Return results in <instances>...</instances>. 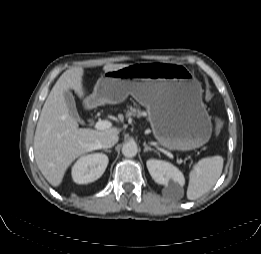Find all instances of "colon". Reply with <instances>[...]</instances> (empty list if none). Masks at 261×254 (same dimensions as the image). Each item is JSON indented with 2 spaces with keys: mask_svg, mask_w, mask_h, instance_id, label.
Listing matches in <instances>:
<instances>
[{
  "mask_svg": "<svg viewBox=\"0 0 261 254\" xmlns=\"http://www.w3.org/2000/svg\"><path fill=\"white\" fill-rule=\"evenodd\" d=\"M224 126V119L221 117L216 118L215 121V134H219Z\"/></svg>",
  "mask_w": 261,
  "mask_h": 254,
  "instance_id": "obj_1",
  "label": "colon"
}]
</instances>
